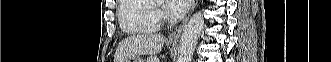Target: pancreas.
Segmentation results:
<instances>
[{
    "label": "pancreas",
    "instance_id": "cf45deb5",
    "mask_svg": "<svg viewBox=\"0 0 331 62\" xmlns=\"http://www.w3.org/2000/svg\"><path fill=\"white\" fill-rule=\"evenodd\" d=\"M157 58L156 57H154V56H151V57H149L148 59H147V61L146 62H157Z\"/></svg>",
    "mask_w": 331,
    "mask_h": 62
}]
</instances>
